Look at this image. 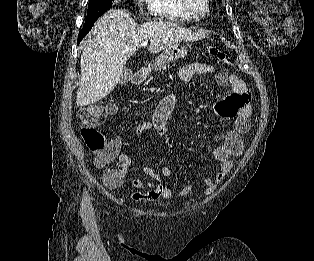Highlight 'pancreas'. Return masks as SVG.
<instances>
[{
  "mask_svg": "<svg viewBox=\"0 0 314 261\" xmlns=\"http://www.w3.org/2000/svg\"><path fill=\"white\" fill-rule=\"evenodd\" d=\"M168 67H169V66H168ZM164 69H167V66H166V65L164 66Z\"/></svg>",
  "mask_w": 314,
  "mask_h": 261,
  "instance_id": "pancreas-1",
  "label": "pancreas"
}]
</instances>
